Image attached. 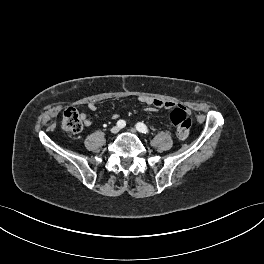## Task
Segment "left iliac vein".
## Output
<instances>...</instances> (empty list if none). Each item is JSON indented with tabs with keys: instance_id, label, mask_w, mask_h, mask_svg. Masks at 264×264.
<instances>
[{
	"instance_id": "obj_1",
	"label": "left iliac vein",
	"mask_w": 264,
	"mask_h": 264,
	"mask_svg": "<svg viewBox=\"0 0 264 264\" xmlns=\"http://www.w3.org/2000/svg\"><path fill=\"white\" fill-rule=\"evenodd\" d=\"M130 132L136 134V133H137V130H136L135 128H131V129H130Z\"/></svg>"
}]
</instances>
